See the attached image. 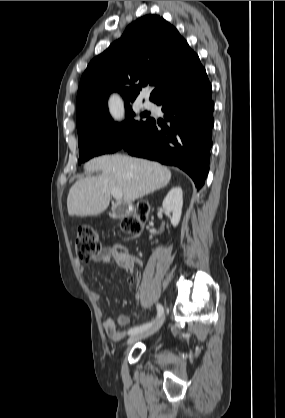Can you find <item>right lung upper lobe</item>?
Wrapping results in <instances>:
<instances>
[{
    "mask_svg": "<svg viewBox=\"0 0 285 418\" xmlns=\"http://www.w3.org/2000/svg\"><path fill=\"white\" fill-rule=\"evenodd\" d=\"M203 69L174 26L158 15L143 16L89 63L78 88L76 124L108 111L112 92L120 93L126 105L148 82L153 87L149 99L157 103Z\"/></svg>",
    "mask_w": 285,
    "mask_h": 418,
    "instance_id": "cb5924a9",
    "label": "right lung upper lobe"
}]
</instances>
